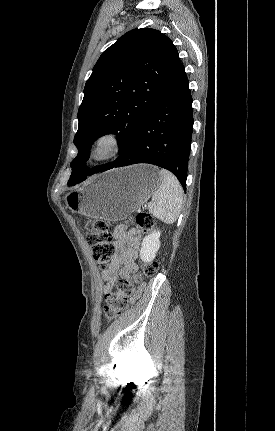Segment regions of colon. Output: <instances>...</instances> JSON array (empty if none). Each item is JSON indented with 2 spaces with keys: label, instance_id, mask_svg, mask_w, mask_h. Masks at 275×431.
Returning a JSON list of instances; mask_svg holds the SVG:
<instances>
[{
  "label": "colon",
  "instance_id": "5ec220e1",
  "mask_svg": "<svg viewBox=\"0 0 275 431\" xmlns=\"http://www.w3.org/2000/svg\"><path fill=\"white\" fill-rule=\"evenodd\" d=\"M90 231L87 236V242L90 245L92 255L103 270L111 264L115 247L112 243L111 235L108 232V223L103 220H89ZM131 223L142 230L148 231L154 228L155 221L148 213H138L131 219ZM158 263L148 262L142 265L141 272L134 275L135 282L142 277H151L156 274ZM134 293L133 281L121 279L117 284V290L106 294V302L103 306V314L107 320L118 318L127 308L128 301Z\"/></svg>",
  "mask_w": 275,
  "mask_h": 431
}]
</instances>
